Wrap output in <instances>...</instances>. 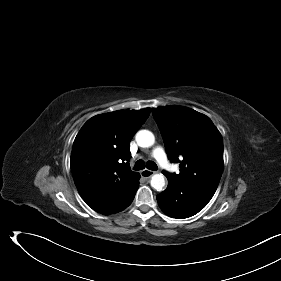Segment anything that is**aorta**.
Listing matches in <instances>:
<instances>
[{
    "mask_svg": "<svg viewBox=\"0 0 281 281\" xmlns=\"http://www.w3.org/2000/svg\"><path fill=\"white\" fill-rule=\"evenodd\" d=\"M136 142L140 147H151L155 142V137L149 130H140L136 134ZM151 186L157 190L161 191L165 186V178L162 174H154L151 178Z\"/></svg>",
    "mask_w": 281,
    "mask_h": 281,
    "instance_id": "762f6f07",
    "label": "aorta"
}]
</instances>
